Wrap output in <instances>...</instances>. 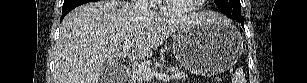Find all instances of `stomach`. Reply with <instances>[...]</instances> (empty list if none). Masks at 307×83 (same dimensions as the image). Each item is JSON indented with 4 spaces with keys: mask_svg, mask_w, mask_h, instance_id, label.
Instances as JSON below:
<instances>
[{
    "mask_svg": "<svg viewBox=\"0 0 307 83\" xmlns=\"http://www.w3.org/2000/svg\"><path fill=\"white\" fill-rule=\"evenodd\" d=\"M173 54L196 75L213 76L233 66L243 51L236 27L216 21L185 27L173 36Z\"/></svg>",
    "mask_w": 307,
    "mask_h": 83,
    "instance_id": "1",
    "label": "stomach"
}]
</instances>
